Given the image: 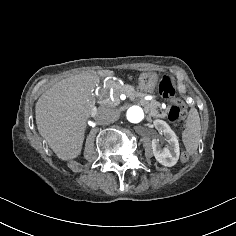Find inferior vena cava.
<instances>
[{
    "mask_svg": "<svg viewBox=\"0 0 236 236\" xmlns=\"http://www.w3.org/2000/svg\"><path fill=\"white\" fill-rule=\"evenodd\" d=\"M93 116L98 125H103L106 122V113L103 110L94 111Z\"/></svg>",
    "mask_w": 236,
    "mask_h": 236,
    "instance_id": "obj_1",
    "label": "inferior vena cava"
}]
</instances>
